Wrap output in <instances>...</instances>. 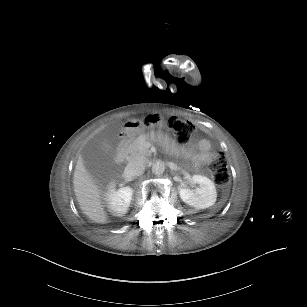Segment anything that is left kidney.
I'll return each mask as SVG.
<instances>
[{
	"mask_svg": "<svg viewBox=\"0 0 307 307\" xmlns=\"http://www.w3.org/2000/svg\"><path fill=\"white\" fill-rule=\"evenodd\" d=\"M192 184H198L195 189L178 187L182 201L197 209H205L213 206L217 200V191L214 183L202 175H193Z\"/></svg>",
	"mask_w": 307,
	"mask_h": 307,
	"instance_id": "obj_1",
	"label": "left kidney"
}]
</instances>
